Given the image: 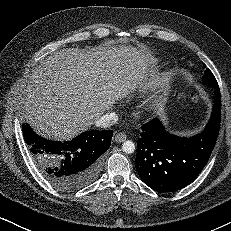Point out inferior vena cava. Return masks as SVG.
I'll return each mask as SVG.
<instances>
[{"label": "inferior vena cava", "instance_id": "602c4592", "mask_svg": "<svg viewBox=\"0 0 231 231\" xmlns=\"http://www.w3.org/2000/svg\"><path fill=\"white\" fill-rule=\"evenodd\" d=\"M117 120H118V116L115 112L106 113L96 121V126L101 128H108L113 124H115Z\"/></svg>", "mask_w": 231, "mask_h": 231}]
</instances>
